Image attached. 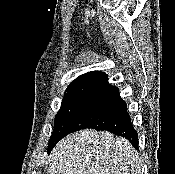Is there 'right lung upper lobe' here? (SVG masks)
<instances>
[{
	"instance_id": "cb5924a9",
	"label": "right lung upper lobe",
	"mask_w": 175,
	"mask_h": 174,
	"mask_svg": "<svg viewBox=\"0 0 175 174\" xmlns=\"http://www.w3.org/2000/svg\"><path fill=\"white\" fill-rule=\"evenodd\" d=\"M107 74L99 71H92L80 75L76 78L67 88L68 94H90L95 90L99 85L107 81Z\"/></svg>"
}]
</instances>
